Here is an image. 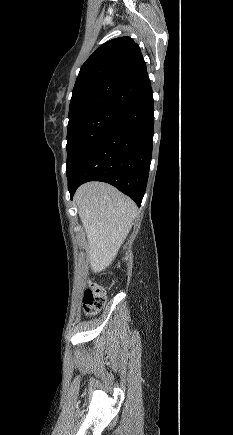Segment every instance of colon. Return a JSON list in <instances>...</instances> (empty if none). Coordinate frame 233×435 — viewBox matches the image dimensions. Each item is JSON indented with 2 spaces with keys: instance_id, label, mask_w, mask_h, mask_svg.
<instances>
[{
  "instance_id": "1",
  "label": "colon",
  "mask_w": 233,
  "mask_h": 435,
  "mask_svg": "<svg viewBox=\"0 0 233 435\" xmlns=\"http://www.w3.org/2000/svg\"><path fill=\"white\" fill-rule=\"evenodd\" d=\"M104 304V289L97 283H90L83 295V310L85 314H97L102 309Z\"/></svg>"
}]
</instances>
